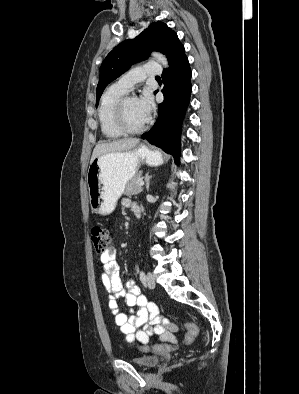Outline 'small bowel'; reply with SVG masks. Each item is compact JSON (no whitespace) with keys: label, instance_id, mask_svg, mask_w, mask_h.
I'll return each instance as SVG.
<instances>
[{"label":"small bowel","instance_id":"1","mask_svg":"<svg viewBox=\"0 0 299 394\" xmlns=\"http://www.w3.org/2000/svg\"><path fill=\"white\" fill-rule=\"evenodd\" d=\"M122 204L134 212L139 211L138 206L127 198ZM115 256L116 246L112 244L101 257V280L106 291L122 298L128 308V313L120 312L116 297H110L109 308L126 341L146 344L152 335H156L162 342L175 344L177 326L161 315L158 305L142 294L133 279L124 284L121 282Z\"/></svg>","mask_w":299,"mask_h":394}]
</instances>
